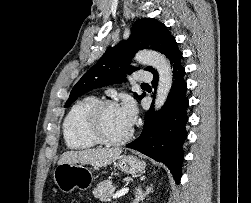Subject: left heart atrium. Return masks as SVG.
Here are the masks:
<instances>
[{"instance_id":"39dd6f15","label":"left heart atrium","mask_w":251,"mask_h":203,"mask_svg":"<svg viewBox=\"0 0 251 203\" xmlns=\"http://www.w3.org/2000/svg\"><path fill=\"white\" fill-rule=\"evenodd\" d=\"M119 110L126 123L131 127L134 124L137 116V109L134 101L130 98H126L119 105Z\"/></svg>"}]
</instances>
